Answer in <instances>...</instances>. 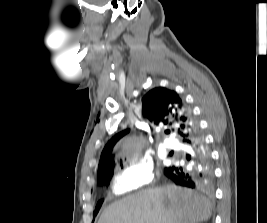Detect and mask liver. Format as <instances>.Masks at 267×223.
Returning <instances> with one entry per match:
<instances>
[{"label": "liver", "mask_w": 267, "mask_h": 223, "mask_svg": "<svg viewBox=\"0 0 267 223\" xmlns=\"http://www.w3.org/2000/svg\"><path fill=\"white\" fill-rule=\"evenodd\" d=\"M212 214L211 202L175 185L142 190L111 204L98 223H199Z\"/></svg>", "instance_id": "6515ba94"}]
</instances>
